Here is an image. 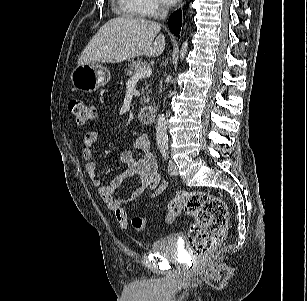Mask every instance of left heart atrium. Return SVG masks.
<instances>
[{"instance_id": "left-heart-atrium-1", "label": "left heart atrium", "mask_w": 307, "mask_h": 301, "mask_svg": "<svg viewBox=\"0 0 307 301\" xmlns=\"http://www.w3.org/2000/svg\"><path fill=\"white\" fill-rule=\"evenodd\" d=\"M166 5L173 6L177 4L180 0H162Z\"/></svg>"}]
</instances>
